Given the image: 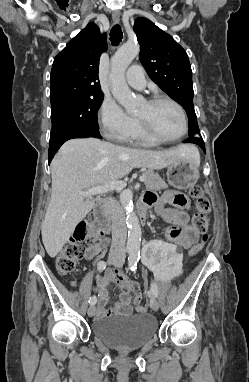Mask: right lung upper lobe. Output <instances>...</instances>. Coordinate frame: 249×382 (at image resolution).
<instances>
[{"label": "right lung upper lobe", "mask_w": 249, "mask_h": 382, "mask_svg": "<svg viewBox=\"0 0 249 382\" xmlns=\"http://www.w3.org/2000/svg\"><path fill=\"white\" fill-rule=\"evenodd\" d=\"M106 49V35H101L94 23H89L66 45L53 62L51 105L103 95L98 70L100 55Z\"/></svg>", "instance_id": "1"}]
</instances>
